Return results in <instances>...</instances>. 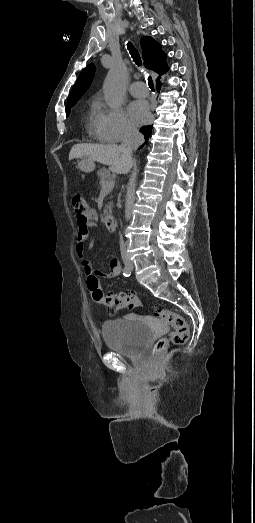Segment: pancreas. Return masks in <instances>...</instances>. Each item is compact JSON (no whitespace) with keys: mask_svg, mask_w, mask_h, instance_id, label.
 Wrapping results in <instances>:
<instances>
[{"mask_svg":"<svg viewBox=\"0 0 255 523\" xmlns=\"http://www.w3.org/2000/svg\"><path fill=\"white\" fill-rule=\"evenodd\" d=\"M97 176L100 180L99 184H103V182H113L109 170H106V168H102V170H98ZM104 214H111V206H105Z\"/></svg>","mask_w":255,"mask_h":523,"instance_id":"obj_1","label":"pancreas"}]
</instances>
